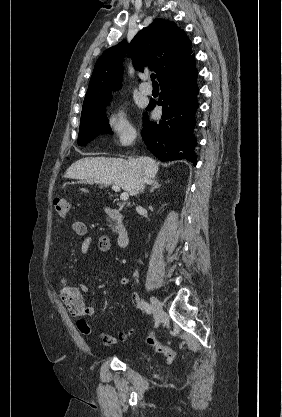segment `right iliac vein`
Segmentation results:
<instances>
[{
    "mask_svg": "<svg viewBox=\"0 0 282 417\" xmlns=\"http://www.w3.org/2000/svg\"><path fill=\"white\" fill-rule=\"evenodd\" d=\"M150 302L152 305V310L155 318H158L162 312L161 302L156 297H151Z\"/></svg>",
    "mask_w": 282,
    "mask_h": 417,
    "instance_id": "right-iliac-vein-1",
    "label": "right iliac vein"
}]
</instances>
